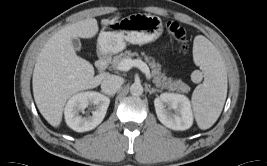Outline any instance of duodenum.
I'll list each match as a JSON object with an SVG mask.
<instances>
[{"label": "duodenum", "instance_id": "obj_1", "mask_svg": "<svg viewBox=\"0 0 267 166\" xmlns=\"http://www.w3.org/2000/svg\"><path fill=\"white\" fill-rule=\"evenodd\" d=\"M111 63V56L107 52H101L97 60V70L100 73H103L107 70L108 66Z\"/></svg>", "mask_w": 267, "mask_h": 166}]
</instances>
